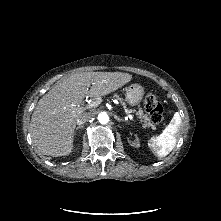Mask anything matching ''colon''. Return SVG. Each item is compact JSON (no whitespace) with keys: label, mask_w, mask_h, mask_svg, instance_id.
I'll return each mask as SVG.
<instances>
[{"label":"colon","mask_w":221,"mask_h":221,"mask_svg":"<svg viewBox=\"0 0 221 221\" xmlns=\"http://www.w3.org/2000/svg\"><path fill=\"white\" fill-rule=\"evenodd\" d=\"M144 107L154 124L158 125L162 122L164 110L159 98L156 95H147L144 101Z\"/></svg>","instance_id":"colon-1"}]
</instances>
